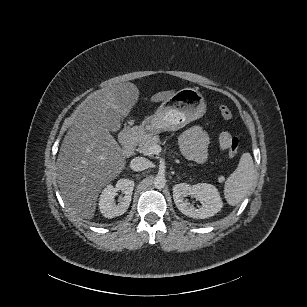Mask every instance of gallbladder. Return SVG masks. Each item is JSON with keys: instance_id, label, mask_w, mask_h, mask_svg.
Wrapping results in <instances>:
<instances>
[{"instance_id": "obj_1", "label": "gallbladder", "mask_w": 307, "mask_h": 307, "mask_svg": "<svg viewBox=\"0 0 307 307\" xmlns=\"http://www.w3.org/2000/svg\"><path fill=\"white\" fill-rule=\"evenodd\" d=\"M105 116L107 118V128L110 130L111 134H115V137H118L117 131L121 128L122 126V121L121 119L114 115L113 111L108 110L105 113Z\"/></svg>"}]
</instances>
